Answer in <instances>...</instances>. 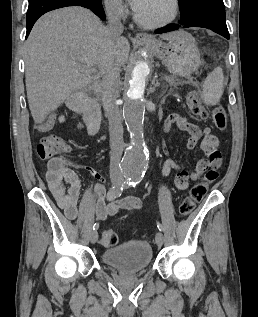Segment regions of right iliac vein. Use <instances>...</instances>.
Returning a JSON list of instances; mask_svg holds the SVG:
<instances>
[{"label": "right iliac vein", "mask_w": 258, "mask_h": 317, "mask_svg": "<svg viewBox=\"0 0 258 317\" xmlns=\"http://www.w3.org/2000/svg\"><path fill=\"white\" fill-rule=\"evenodd\" d=\"M112 184L114 185V186H117L118 184H119V181L117 180V179H114L113 181H112ZM90 242L91 243H97L98 241H99V238H98V231H97V229H92V231H91V234H90Z\"/></svg>", "instance_id": "1"}]
</instances>
